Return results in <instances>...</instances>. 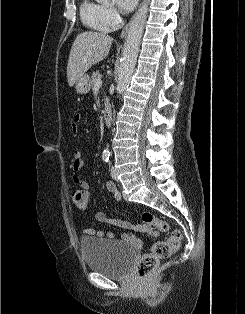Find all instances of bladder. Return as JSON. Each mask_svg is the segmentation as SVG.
<instances>
[{
  "instance_id": "bladder-1",
  "label": "bladder",
  "mask_w": 245,
  "mask_h": 314,
  "mask_svg": "<svg viewBox=\"0 0 245 314\" xmlns=\"http://www.w3.org/2000/svg\"><path fill=\"white\" fill-rule=\"evenodd\" d=\"M87 268L107 277H122L138 256L133 247L120 241L90 238L80 242Z\"/></svg>"
}]
</instances>
